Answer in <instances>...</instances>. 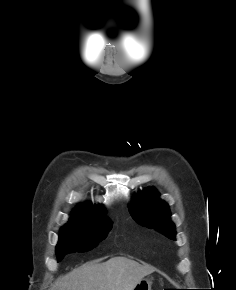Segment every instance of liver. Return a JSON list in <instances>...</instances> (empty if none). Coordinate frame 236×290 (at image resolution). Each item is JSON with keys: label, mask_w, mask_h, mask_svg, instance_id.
I'll return each instance as SVG.
<instances>
[{"label": "liver", "mask_w": 236, "mask_h": 290, "mask_svg": "<svg viewBox=\"0 0 236 290\" xmlns=\"http://www.w3.org/2000/svg\"><path fill=\"white\" fill-rule=\"evenodd\" d=\"M154 268L126 257L87 263L57 281L58 290H133Z\"/></svg>", "instance_id": "6515ba94"}]
</instances>
